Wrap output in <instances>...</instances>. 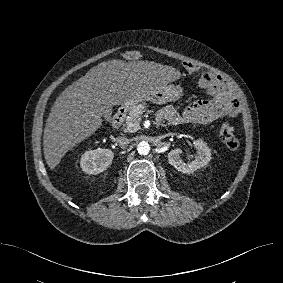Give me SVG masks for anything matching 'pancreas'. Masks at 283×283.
Segmentation results:
<instances>
[{"label":"pancreas","instance_id":"cf45deb5","mask_svg":"<svg viewBox=\"0 0 283 283\" xmlns=\"http://www.w3.org/2000/svg\"><path fill=\"white\" fill-rule=\"evenodd\" d=\"M146 104L141 103L135 105L129 112V116L126 118L123 124V131L127 133H134L140 129V122L142 120L141 114L145 111Z\"/></svg>","mask_w":283,"mask_h":283}]
</instances>
